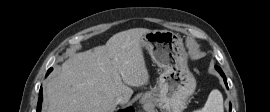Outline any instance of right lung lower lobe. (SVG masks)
<instances>
[{
    "instance_id": "obj_1",
    "label": "right lung lower lobe",
    "mask_w": 270,
    "mask_h": 112,
    "mask_svg": "<svg viewBox=\"0 0 270 112\" xmlns=\"http://www.w3.org/2000/svg\"><path fill=\"white\" fill-rule=\"evenodd\" d=\"M52 71V68H50L47 71V75H49V73ZM42 88H40V92H39V98H38V103H37V112H41V104H42ZM118 112H134V110L132 108L126 109V110H119Z\"/></svg>"
}]
</instances>
